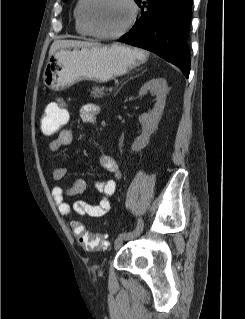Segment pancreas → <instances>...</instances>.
Segmentation results:
<instances>
[{
	"label": "pancreas",
	"mask_w": 245,
	"mask_h": 319,
	"mask_svg": "<svg viewBox=\"0 0 245 319\" xmlns=\"http://www.w3.org/2000/svg\"><path fill=\"white\" fill-rule=\"evenodd\" d=\"M90 93L93 98H102L109 95L107 88L100 86H93Z\"/></svg>",
	"instance_id": "pancreas-1"
}]
</instances>
